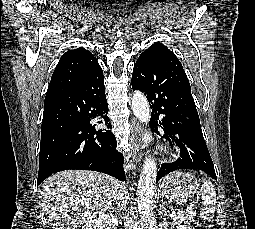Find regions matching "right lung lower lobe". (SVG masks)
<instances>
[{"label": "right lung lower lobe", "mask_w": 255, "mask_h": 229, "mask_svg": "<svg viewBox=\"0 0 255 229\" xmlns=\"http://www.w3.org/2000/svg\"><path fill=\"white\" fill-rule=\"evenodd\" d=\"M107 114L101 67L84 76L67 98L44 107L41 130L60 119H66L68 124L53 164L49 168L39 166L38 184L68 169L103 172L125 181L124 172L118 169L123 165V155L116 150Z\"/></svg>", "instance_id": "1"}]
</instances>
